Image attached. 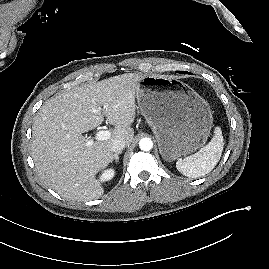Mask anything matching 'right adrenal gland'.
<instances>
[{"label": "right adrenal gland", "instance_id": "1", "mask_svg": "<svg viewBox=\"0 0 269 269\" xmlns=\"http://www.w3.org/2000/svg\"><path fill=\"white\" fill-rule=\"evenodd\" d=\"M121 153H122V152L119 151V152H117L116 154H114L112 162L115 160V162L118 163V162H119V155H120Z\"/></svg>", "mask_w": 269, "mask_h": 269}]
</instances>
